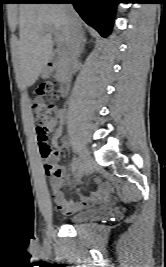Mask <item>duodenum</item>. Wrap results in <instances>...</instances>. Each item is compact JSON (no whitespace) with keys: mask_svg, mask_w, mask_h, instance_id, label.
<instances>
[{"mask_svg":"<svg viewBox=\"0 0 166 267\" xmlns=\"http://www.w3.org/2000/svg\"><path fill=\"white\" fill-rule=\"evenodd\" d=\"M45 68L48 72L56 74L61 82V95L66 96L71 85V77L67 67L50 57L46 61Z\"/></svg>","mask_w":166,"mask_h":267,"instance_id":"obj_1","label":"duodenum"}]
</instances>
